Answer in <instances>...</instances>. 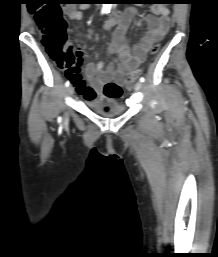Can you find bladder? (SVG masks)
<instances>
[{
  "instance_id": "31cf9c89",
  "label": "bladder",
  "mask_w": 218,
  "mask_h": 257,
  "mask_svg": "<svg viewBox=\"0 0 218 257\" xmlns=\"http://www.w3.org/2000/svg\"><path fill=\"white\" fill-rule=\"evenodd\" d=\"M85 103L91 110L103 116H116L125 111L124 104L111 96H100L93 100H86Z\"/></svg>"
}]
</instances>
